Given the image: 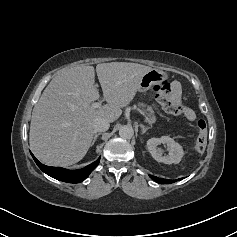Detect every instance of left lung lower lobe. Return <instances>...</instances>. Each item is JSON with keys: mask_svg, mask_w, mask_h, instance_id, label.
<instances>
[{"mask_svg": "<svg viewBox=\"0 0 237 237\" xmlns=\"http://www.w3.org/2000/svg\"><path fill=\"white\" fill-rule=\"evenodd\" d=\"M150 177L159 184H171V183H174V182L180 180V179L168 180V179L158 178V177H155V176H152V175H150Z\"/></svg>", "mask_w": 237, "mask_h": 237, "instance_id": "1", "label": "left lung lower lobe"}]
</instances>
